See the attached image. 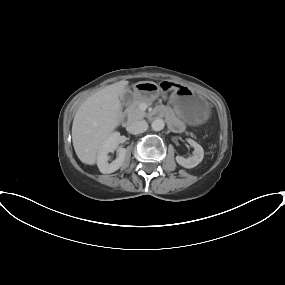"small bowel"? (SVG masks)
<instances>
[{"label": "small bowel", "mask_w": 285, "mask_h": 285, "mask_svg": "<svg viewBox=\"0 0 285 285\" xmlns=\"http://www.w3.org/2000/svg\"><path fill=\"white\" fill-rule=\"evenodd\" d=\"M171 125H172V127H173L175 130H180V129H181V124H180V122H179L177 119H175V118H172V119H171Z\"/></svg>", "instance_id": "1"}]
</instances>
